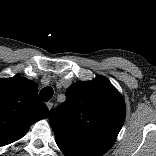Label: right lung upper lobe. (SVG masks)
<instances>
[{
    "instance_id": "obj_1",
    "label": "right lung upper lobe",
    "mask_w": 156,
    "mask_h": 156,
    "mask_svg": "<svg viewBox=\"0 0 156 156\" xmlns=\"http://www.w3.org/2000/svg\"><path fill=\"white\" fill-rule=\"evenodd\" d=\"M37 93V84L25 77L0 79V146L20 139L34 122L49 116Z\"/></svg>"
}]
</instances>
